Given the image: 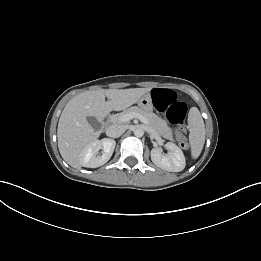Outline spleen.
I'll use <instances>...</instances> for the list:
<instances>
[{"label": "spleen", "instance_id": "obj_1", "mask_svg": "<svg viewBox=\"0 0 261 261\" xmlns=\"http://www.w3.org/2000/svg\"><path fill=\"white\" fill-rule=\"evenodd\" d=\"M191 155L193 159L199 157L205 142V125L198 109L192 108L189 115Z\"/></svg>", "mask_w": 261, "mask_h": 261}]
</instances>
